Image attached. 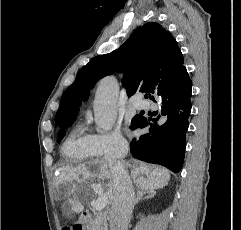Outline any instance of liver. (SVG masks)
Masks as SVG:
<instances>
[{"label": "liver", "mask_w": 241, "mask_h": 230, "mask_svg": "<svg viewBox=\"0 0 241 230\" xmlns=\"http://www.w3.org/2000/svg\"><path fill=\"white\" fill-rule=\"evenodd\" d=\"M61 174V178L73 186L71 189L73 197L68 199L66 213H69L70 210L76 214L83 212L84 207L80 202V193L90 188L95 190L96 187H100L102 192L105 191L104 194L108 197V201L112 203L113 179L105 160H96L88 165L80 164L78 167H64ZM131 177L141 190L155 192L168 184L170 174L165 168H150L146 164L138 163V166L131 171ZM78 184H81L82 187L80 188Z\"/></svg>", "instance_id": "liver-1"}]
</instances>
